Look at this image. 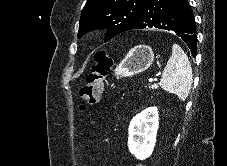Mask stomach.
Here are the masks:
<instances>
[{
	"instance_id": "stomach-1",
	"label": "stomach",
	"mask_w": 227,
	"mask_h": 166,
	"mask_svg": "<svg viewBox=\"0 0 227 166\" xmlns=\"http://www.w3.org/2000/svg\"><path fill=\"white\" fill-rule=\"evenodd\" d=\"M154 61V52L147 45L131 48L125 58L114 69L117 79L130 77L147 70Z\"/></svg>"
}]
</instances>
